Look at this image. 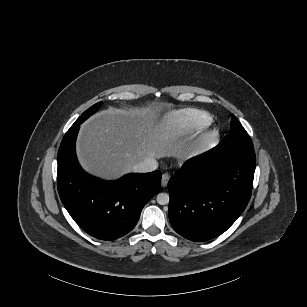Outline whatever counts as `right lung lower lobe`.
Segmentation results:
<instances>
[{"instance_id": "obj_1", "label": "right lung lower lobe", "mask_w": 307, "mask_h": 307, "mask_svg": "<svg viewBox=\"0 0 307 307\" xmlns=\"http://www.w3.org/2000/svg\"><path fill=\"white\" fill-rule=\"evenodd\" d=\"M83 122L65 134L58 152V191L63 205L89 235L114 240L130 232L144 205L159 191L161 172L127 174L103 181L86 173L78 163L75 142Z\"/></svg>"}]
</instances>
